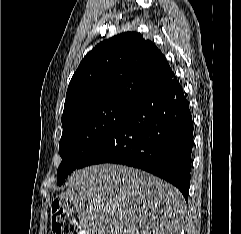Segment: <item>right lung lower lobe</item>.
<instances>
[{"label":"right lung lower lobe","instance_id":"obj_1","mask_svg":"<svg viewBox=\"0 0 241 234\" xmlns=\"http://www.w3.org/2000/svg\"><path fill=\"white\" fill-rule=\"evenodd\" d=\"M192 146L189 103L172 72L133 104L79 168L100 163L140 168L175 185L187 201Z\"/></svg>","mask_w":241,"mask_h":234}]
</instances>
